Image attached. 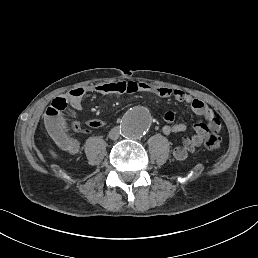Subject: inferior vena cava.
<instances>
[{"mask_svg": "<svg viewBox=\"0 0 258 258\" xmlns=\"http://www.w3.org/2000/svg\"><path fill=\"white\" fill-rule=\"evenodd\" d=\"M120 135V128L119 127H114L111 129V131L109 132V137L112 140H116L119 138Z\"/></svg>", "mask_w": 258, "mask_h": 258, "instance_id": "obj_1", "label": "inferior vena cava"}]
</instances>
